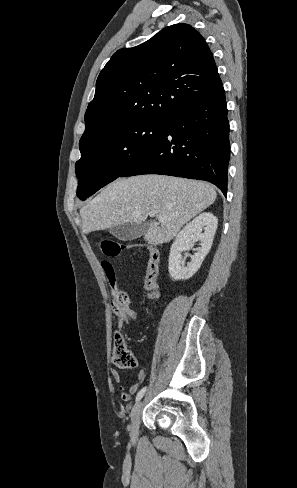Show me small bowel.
<instances>
[{
    "label": "small bowel",
    "mask_w": 297,
    "mask_h": 488,
    "mask_svg": "<svg viewBox=\"0 0 297 488\" xmlns=\"http://www.w3.org/2000/svg\"><path fill=\"white\" fill-rule=\"evenodd\" d=\"M136 319H137V313L135 311H128L125 315L121 316L119 324L123 325L129 321H133ZM145 375H146L145 371L140 370L138 375H137L138 381H142L145 378ZM111 376H112L114 382L116 383V385L118 386L119 390L121 391L122 400L125 402L130 401L131 396L134 395L139 390L140 383L136 382V383L130 385L128 388L125 387L122 384V378H121V375L117 369L111 370Z\"/></svg>",
    "instance_id": "1"
}]
</instances>
